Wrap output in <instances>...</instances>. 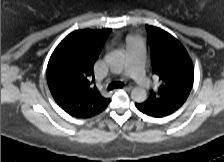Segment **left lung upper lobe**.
Masks as SVG:
<instances>
[{
  "mask_svg": "<svg viewBox=\"0 0 224 162\" xmlns=\"http://www.w3.org/2000/svg\"><path fill=\"white\" fill-rule=\"evenodd\" d=\"M152 48V71L160 86L152 90L140 106L145 110L174 112L179 109L193 86L194 69L182 44L168 32L146 25Z\"/></svg>",
  "mask_w": 224,
  "mask_h": 162,
  "instance_id": "5c2ea615",
  "label": "left lung upper lobe"
}]
</instances>
